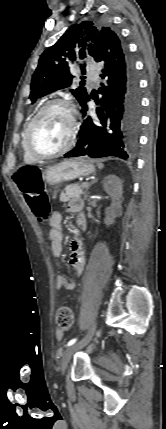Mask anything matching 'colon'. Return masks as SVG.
<instances>
[{
  "label": "colon",
  "mask_w": 166,
  "mask_h": 429,
  "mask_svg": "<svg viewBox=\"0 0 166 429\" xmlns=\"http://www.w3.org/2000/svg\"><path fill=\"white\" fill-rule=\"evenodd\" d=\"M13 180L33 213L39 218L47 217L50 205L44 190L40 166L33 164L21 166L13 174ZM55 320L60 330H70L74 323L72 309L67 305L60 306Z\"/></svg>",
  "instance_id": "5ec220e1"
}]
</instances>
